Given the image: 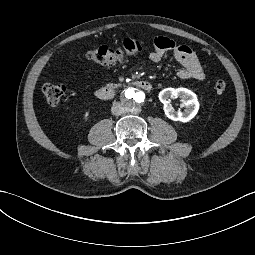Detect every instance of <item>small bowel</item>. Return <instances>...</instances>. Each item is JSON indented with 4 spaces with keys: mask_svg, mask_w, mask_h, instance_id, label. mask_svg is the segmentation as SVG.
<instances>
[{
    "mask_svg": "<svg viewBox=\"0 0 255 255\" xmlns=\"http://www.w3.org/2000/svg\"><path fill=\"white\" fill-rule=\"evenodd\" d=\"M167 53H172L174 59L182 66L177 75L181 79L203 80L204 69L196 53L188 46L177 45L167 37H157L154 40V49L149 58L152 62H160Z\"/></svg>",
    "mask_w": 255,
    "mask_h": 255,
    "instance_id": "small-bowel-1",
    "label": "small bowel"
}]
</instances>
